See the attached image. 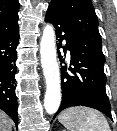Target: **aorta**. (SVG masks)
<instances>
[{
  "instance_id": "762f6f07",
  "label": "aorta",
  "mask_w": 117,
  "mask_h": 131,
  "mask_svg": "<svg viewBox=\"0 0 117 131\" xmlns=\"http://www.w3.org/2000/svg\"><path fill=\"white\" fill-rule=\"evenodd\" d=\"M40 55L43 74L46 81L44 107L48 114H54L61 103L60 71L56 59L55 32L47 24L40 42Z\"/></svg>"
}]
</instances>
